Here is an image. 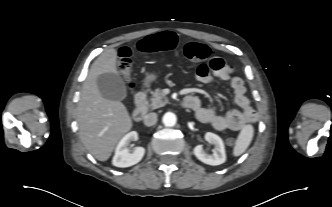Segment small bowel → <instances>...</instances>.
I'll list each match as a JSON object with an SVG mask.
<instances>
[{"label":"small bowel","mask_w":332,"mask_h":207,"mask_svg":"<svg viewBox=\"0 0 332 207\" xmlns=\"http://www.w3.org/2000/svg\"><path fill=\"white\" fill-rule=\"evenodd\" d=\"M196 78L205 84L216 80L230 83L235 92V103L239 107L238 110L234 109L219 114L214 109L203 106L198 97L191 96L193 97V103L189 109L195 113L200 122L209 124L218 131H225L238 130L245 124L257 120V113L245 95L246 90L243 80L234 74L233 67L226 64L223 59L215 58L210 60L208 64H200L196 69Z\"/></svg>","instance_id":"1"}]
</instances>
